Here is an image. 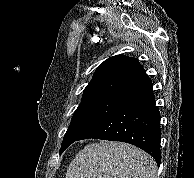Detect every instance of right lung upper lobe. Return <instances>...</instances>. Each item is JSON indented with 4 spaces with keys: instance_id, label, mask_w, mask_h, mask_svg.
I'll return each instance as SVG.
<instances>
[{
    "instance_id": "cb5924a9",
    "label": "right lung upper lobe",
    "mask_w": 194,
    "mask_h": 178,
    "mask_svg": "<svg viewBox=\"0 0 194 178\" xmlns=\"http://www.w3.org/2000/svg\"><path fill=\"white\" fill-rule=\"evenodd\" d=\"M153 92L150 78L135 58L117 55L98 66L82 100L109 99L123 103Z\"/></svg>"
}]
</instances>
